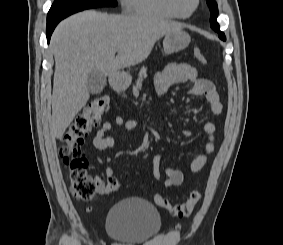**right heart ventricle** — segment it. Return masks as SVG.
Segmentation results:
<instances>
[{
	"label": "right heart ventricle",
	"instance_id": "right-heart-ventricle-1",
	"mask_svg": "<svg viewBox=\"0 0 283 245\" xmlns=\"http://www.w3.org/2000/svg\"><path fill=\"white\" fill-rule=\"evenodd\" d=\"M124 7L127 12L138 15L162 19L181 18L171 0H124Z\"/></svg>",
	"mask_w": 283,
	"mask_h": 245
}]
</instances>
